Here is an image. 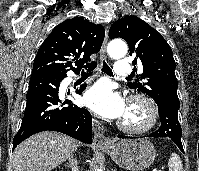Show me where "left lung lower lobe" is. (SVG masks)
<instances>
[{"label":"left lung lower lobe","mask_w":199,"mask_h":171,"mask_svg":"<svg viewBox=\"0 0 199 171\" xmlns=\"http://www.w3.org/2000/svg\"><path fill=\"white\" fill-rule=\"evenodd\" d=\"M178 110L179 108L168 105H158V111L161 121V126L159 129L152 134H149V137H167L171 138L172 141L178 146V148L184 152L183 146L181 143V126L178 121ZM119 138H133L123 135H118Z\"/></svg>","instance_id":"obj_1"}]
</instances>
